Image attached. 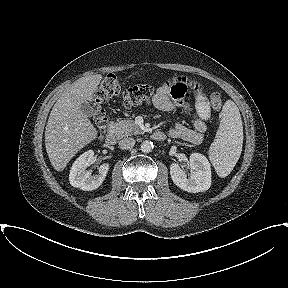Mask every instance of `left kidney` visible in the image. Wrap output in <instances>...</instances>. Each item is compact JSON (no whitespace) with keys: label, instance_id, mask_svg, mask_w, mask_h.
<instances>
[{"label":"left kidney","instance_id":"1","mask_svg":"<svg viewBox=\"0 0 288 288\" xmlns=\"http://www.w3.org/2000/svg\"><path fill=\"white\" fill-rule=\"evenodd\" d=\"M190 175L176 163L170 165V175L176 186L190 193L206 191L211 185V167L200 153H192L189 159Z\"/></svg>","mask_w":288,"mask_h":288}]
</instances>
